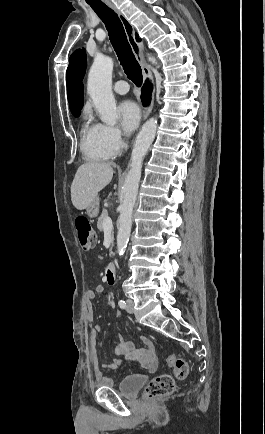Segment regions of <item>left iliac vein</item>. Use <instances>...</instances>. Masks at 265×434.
<instances>
[{
    "label": "left iliac vein",
    "instance_id": "obj_1",
    "mask_svg": "<svg viewBox=\"0 0 265 434\" xmlns=\"http://www.w3.org/2000/svg\"><path fill=\"white\" fill-rule=\"evenodd\" d=\"M126 310L128 313H133L134 312V302L132 299H128L127 300V307Z\"/></svg>",
    "mask_w": 265,
    "mask_h": 434
}]
</instances>
